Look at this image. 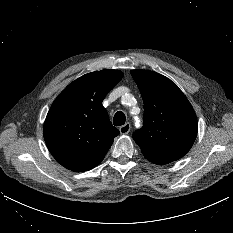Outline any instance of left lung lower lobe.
Masks as SVG:
<instances>
[{
    "label": "left lung lower lobe",
    "mask_w": 233,
    "mask_h": 233,
    "mask_svg": "<svg viewBox=\"0 0 233 233\" xmlns=\"http://www.w3.org/2000/svg\"><path fill=\"white\" fill-rule=\"evenodd\" d=\"M152 162V161H151ZM155 164H159V165H163V164H167V163H164V162H153Z\"/></svg>",
    "instance_id": "left-lung-lower-lobe-1"
}]
</instances>
